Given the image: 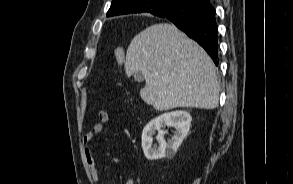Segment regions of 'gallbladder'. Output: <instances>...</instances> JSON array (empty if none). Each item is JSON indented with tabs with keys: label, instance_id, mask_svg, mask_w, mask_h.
I'll list each match as a JSON object with an SVG mask.
<instances>
[{
	"label": "gallbladder",
	"instance_id": "1",
	"mask_svg": "<svg viewBox=\"0 0 293 184\" xmlns=\"http://www.w3.org/2000/svg\"><path fill=\"white\" fill-rule=\"evenodd\" d=\"M134 79H135L136 81H138V82H141V81L144 80V76H143V74H142L141 72H138V73H136V74L134 75Z\"/></svg>",
	"mask_w": 293,
	"mask_h": 184
}]
</instances>
